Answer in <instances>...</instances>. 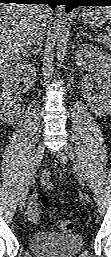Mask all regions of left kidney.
<instances>
[{"instance_id":"obj_1","label":"left kidney","mask_w":111,"mask_h":257,"mask_svg":"<svg viewBox=\"0 0 111 257\" xmlns=\"http://www.w3.org/2000/svg\"><path fill=\"white\" fill-rule=\"evenodd\" d=\"M75 58L78 66L91 65L97 72L96 81L102 85L91 101L96 103V113L108 112L111 109V56L98 47L82 44L78 47Z\"/></svg>"}]
</instances>
